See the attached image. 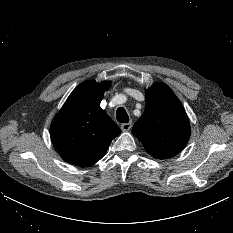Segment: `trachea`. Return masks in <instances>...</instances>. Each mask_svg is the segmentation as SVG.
<instances>
[{"mask_svg":"<svg viewBox=\"0 0 233 233\" xmlns=\"http://www.w3.org/2000/svg\"><path fill=\"white\" fill-rule=\"evenodd\" d=\"M116 118L121 123H128L129 122V116L123 107H119L117 109Z\"/></svg>","mask_w":233,"mask_h":233,"instance_id":"obj_1","label":"trachea"}]
</instances>
